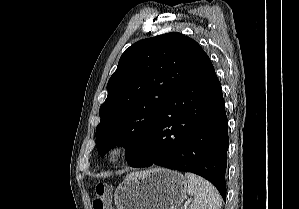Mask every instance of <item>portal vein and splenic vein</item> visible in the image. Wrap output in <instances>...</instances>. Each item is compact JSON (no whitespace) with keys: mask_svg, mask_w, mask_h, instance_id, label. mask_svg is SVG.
Returning <instances> with one entry per match:
<instances>
[{"mask_svg":"<svg viewBox=\"0 0 299 209\" xmlns=\"http://www.w3.org/2000/svg\"><path fill=\"white\" fill-rule=\"evenodd\" d=\"M189 203H190V201L186 202L182 209H187V206L189 205Z\"/></svg>","mask_w":299,"mask_h":209,"instance_id":"portal-vein-and-splenic-vein-1","label":"portal vein and splenic vein"}]
</instances>
